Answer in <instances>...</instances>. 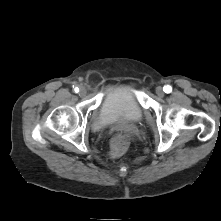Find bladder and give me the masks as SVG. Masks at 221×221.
<instances>
[{"label":"bladder","mask_w":221,"mask_h":221,"mask_svg":"<svg viewBox=\"0 0 221 221\" xmlns=\"http://www.w3.org/2000/svg\"><path fill=\"white\" fill-rule=\"evenodd\" d=\"M143 116L135 89L126 85L113 86L102 97L93 128L100 129L117 122L135 123L141 121Z\"/></svg>","instance_id":"bladder-1"}]
</instances>
